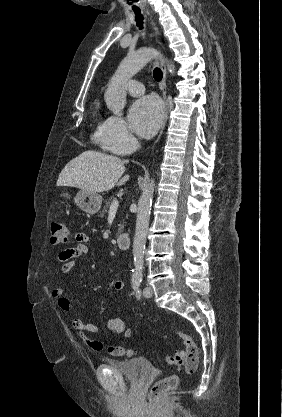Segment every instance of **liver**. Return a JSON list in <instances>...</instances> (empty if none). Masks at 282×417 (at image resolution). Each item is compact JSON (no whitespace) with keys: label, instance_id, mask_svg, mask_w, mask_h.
<instances>
[{"label":"liver","instance_id":"6515ba94","mask_svg":"<svg viewBox=\"0 0 282 417\" xmlns=\"http://www.w3.org/2000/svg\"><path fill=\"white\" fill-rule=\"evenodd\" d=\"M125 162L128 160H121L118 156L85 150L67 162L59 174L57 186H77L90 192L110 190L115 184L120 186L128 180L129 174L122 176Z\"/></svg>","mask_w":282,"mask_h":417}]
</instances>
